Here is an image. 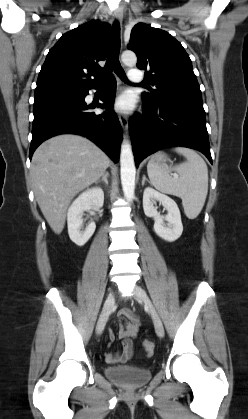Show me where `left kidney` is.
Instances as JSON below:
<instances>
[{"label": "left kidney", "instance_id": "5707ae66", "mask_svg": "<svg viewBox=\"0 0 248 419\" xmlns=\"http://www.w3.org/2000/svg\"><path fill=\"white\" fill-rule=\"evenodd\" d=\"M157 201L168 211L165 217H162L154 206ZM143 209L146 216L154 218V232L159 237L168 242H173L181 236L183 231L181 215L176 202L172 198L147 187L143 193ZM164 220L167 221L166 224Z\"/></svg>", "mask_w": 248, "mask_h": 419}]
</instances>
